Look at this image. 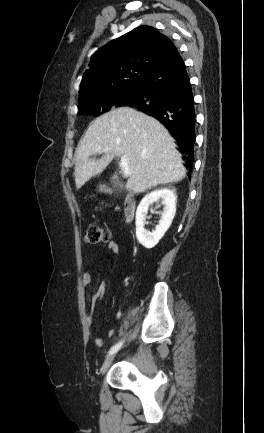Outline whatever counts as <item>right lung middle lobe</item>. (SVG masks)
Masks as SVG:
<instances>
[{
    "label": "right lung middle lobe",
    "mask_w": 264,
    "mask_h": 433,
    "mask_svg": "<svg viewBox=\"0 0 264 433\" xmlns=\"http://www.w3.org/2000/svg\"><path fill=\"white\" fill-rule=\"evenodd\" d=\"M140 85L124 86L104 95L79 100L78 108L81 114L99 116L115 107L122 106L130 98L136 96Z\"/></svg>",
    "instance_id": "dd1d6c3e"
}]
</instances>
